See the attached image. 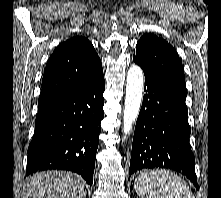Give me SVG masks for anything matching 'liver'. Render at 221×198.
Instances as JSON below:
<instances>
[{
  "label": "liver",
  "instance_id": "6515ba94",
  "mask_svg": "<svg viewBox=\"0 0 221 198\" xmlns=\"http://www.w3.org/2000/svg\"><path fill=\"white\" fill-rule=\"evenodd\" d=\"M85 182L66 171H44L30 176L22 198H85Z\"/></svg>",
  "mask_w": 221,
  "mask_h": 198
}]
</instances>
